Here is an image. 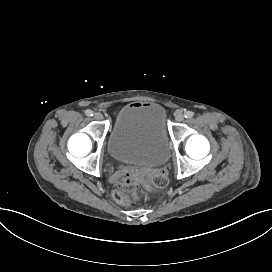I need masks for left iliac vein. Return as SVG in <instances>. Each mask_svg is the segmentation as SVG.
Masks as SVG:
<instances>
[{
    "instance_id": "1",
    "label": "left iliac vein",
    "mask_w": 272,
    "mask_h": 272,
    "mask_svg": "<svg viewBox=\"0 0 272 272\" xmlns=\"http://www.w3.org/2000/svg\"><path fill=\"white\" fill-rule=\"evenodd\" d=\"M175 119L177 122H181L184 120V115L181 112H176L175 113Z\"/></svg>"
}]
</instances>
